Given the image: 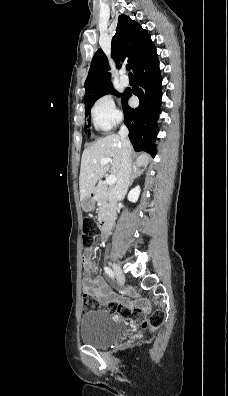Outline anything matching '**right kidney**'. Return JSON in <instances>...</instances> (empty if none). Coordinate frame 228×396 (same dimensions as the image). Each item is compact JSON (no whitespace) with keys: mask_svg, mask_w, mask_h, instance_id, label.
Segmentation results:
<instances>
[{"mask_svg":"<svg viewBox=\"0 0 228 396\" xmlns=\"http://www.w3.org/2000/svg\"><path fill=\"white\" fill-rule=\"evenodd\" d=\"M139 195H140V187H139V186H136L135 188H133V189L129 192V194H128V200H129L130 202H134V203H135V202L138 200Z\"/></svg>","mask_w":228,"mask_h":396,"instance_id":"1","label":"right kidney"}]
</instances>
